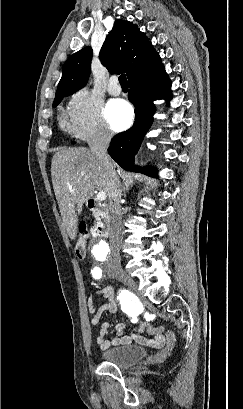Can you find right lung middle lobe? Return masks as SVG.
Here are the masks:
<instances>
[{"instance_id": "dd1d6c3e", "label": "right lung middle lobe", "mask_w": 243, "mask_h": 409, "mask_svg": "<svg viewBox=\"0 0 243 409\" xmlns=\"http://www.w3.org/2000/svg\"><path fill=\"white\" fill-rule=\"evenodd\" d=\"M65 96H68V95H61L60 97L55 99L54 103H53V107L57 106L61 102L62 98L65 97Z\"/></svg>"}]
</instances>
